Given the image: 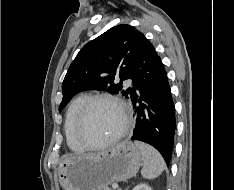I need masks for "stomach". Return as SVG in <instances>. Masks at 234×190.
<instances>
[{"instance_id": "obj_1", "label": "stomach", "mask_w": 234, "mask_h": 190, "mask_svg": "<svg viewBox=\"0 0 234 190\" xmlns=\"http://www.w3.org/2000/svg\"><path fill=\"white\" fill-rule=\"evenodd\" d=\"M142 155L131 141H123L99 154L64 159L58 167L64 190H104L113 182L125 181L139 170Z\"/></svg>"}]
</instances>
